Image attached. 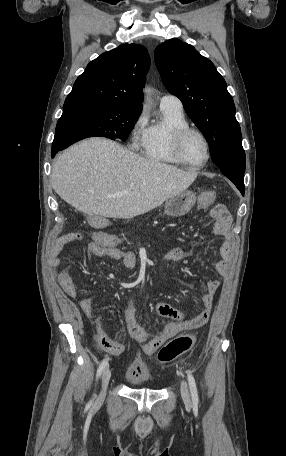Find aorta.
Returning <instances> with one entry per match:
<instances>
[{"label":"aorta","instance_id":"obj_1","mask_svg":"<svg viewBox=\"0 0 286 456\" xmlns=\"http://www.w3.org/2000/svg\"><path fill=\"white\" fill-rule=\"evenodd\" d=\"M145 92L149 93V92H150V89H147V88H146V89H145Z\"/></svg>","mask_w":286,"mask_h":456}]
</instances>
